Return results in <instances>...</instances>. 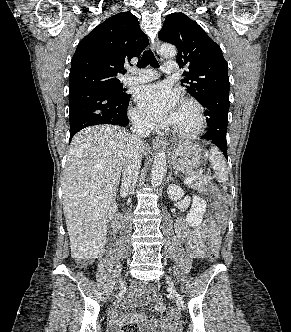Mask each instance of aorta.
I'll return each instance as SVG.
<instances>
[{"instance_id":"aorta-1","label":"aorta","mask_w":291,"mask_h":332,"mask_svg":"<svg viewBox=\"0 0 291 332\" xmlns=\"http://www.w3.org/2000/svg\"><path fill=\"white\" fill-rule=\"evenodd\" d=\"M176 48L171 44H163L160 47V54L165 58H172L176 55ZM166 172V155L165 152L160 150L156 153L151 174V184L157 187L161 184Z\"/></svg>"}]
</instances>
